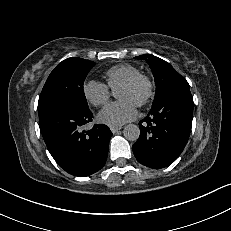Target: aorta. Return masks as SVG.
<instances>
[{"instance_id":"obj_1","label":"aorta","mask_w":231,"mask_h":231,"mask_svg":"<svg viewBox=\"0 0 231 231\" xmlns=\"http://www.w3.org/2000/svg\"><path fill=\"white\" fill-rule=\"evenodd\" d=\"M123 135L129 141H136L140 136V129L135 124H128L123 129Z\"/></svg>"}]
</instances>
